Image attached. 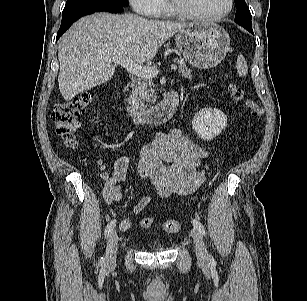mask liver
<instances>
[{"label":"liver","instance_id":"liver-1","mask_svg":"<svg viewBox=\"0 0 307 301\" xmlns=\"http://www.w3.org/2000/svg\"><path fill=\"white\" fill-rule=\"evenodd\" d=\"M187 23L145 19L136 14L99 13L78 20L59 40V90L65 101L109 81L115 67L105 58L152 60Z\"/></svg>","mask_w":307,"mask_h":301}]
</instances>
